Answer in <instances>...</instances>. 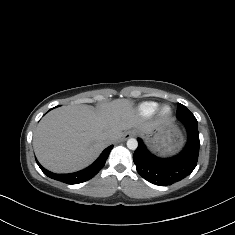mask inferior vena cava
<instances>
[{"instance_id": "602c4592", "label": "inferior vena cava", "mask_w": 235, "mask_h": 235, "mask_svg": "<svg viewBox=\"0 0 235 235\" xmlns=\"http://www.w3.org/2000/svg\"><path fill=\"white\" fill-rule=\"evenodd\" d=\"M121 134H110L107 135L106 137V141H108V143H114L116 140H118L120 138Z\"/></svg>"}]
</instances>
